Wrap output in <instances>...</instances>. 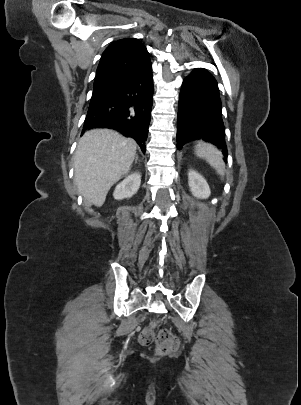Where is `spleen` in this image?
I'll list each match as a JSON object with an SVG mask.
<instances>
[{
	"label": "spleen",
	"instance_id": "3e777b00",
	"mask_svg": "<svg viewBox=\"0 0 301 405\" xmlns=\"http://www.w3.org/2000/svg\"><path fill=\"white\" fill-rule=\"evenodd\" d=\"M198 157L206 160L221 176H224L225 164L222 154L214 146L206 143H198L195 147Z\"/></svg>",
	"mask_w": 301,
	"mask_h": 405
}]
</instances>
